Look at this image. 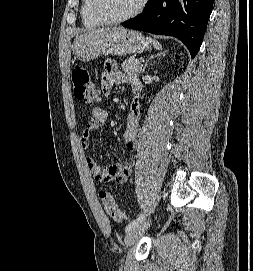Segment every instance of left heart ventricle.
I'll return each instance as SVG.
<instances>
[{
	"label": "left heart ventricle",
	"instance_id": "left-heart-ventricle-1",
	"mask_svg": "<svg viewBox=\"0 0 253 271\" xmlns=\"http://www.w3.org/2000/svg\"><path fill=\"white\" fill-rule=\"evenodd\" d=\"M140 0H101V9L108 18H120L132 12Z\"/></svg>",
	"mask_w": 253,
	"mask_h": 271
}]
</instances>
